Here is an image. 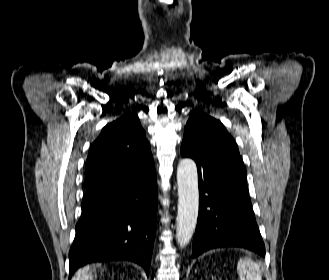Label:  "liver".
<instances>
[{
	"label": "liver",
	"instance_id": "liver-1",
	"mask_svg": "<svg viewBox=\"0 0 329 280\" xmlns=\"http://www.w3.org/2000/svg\"><path fill=\"white\" fill-rule=\"evenodd\" d=\"M93 275L90 271V267H85L81 271L78 272L76 277H74L72 280H92Z\"/></svg>",
	"mask_w": 329,
	"mask_h": 280
}]
</instances>
